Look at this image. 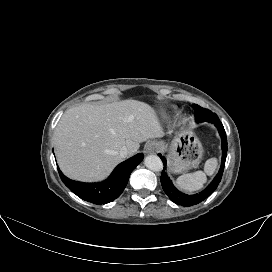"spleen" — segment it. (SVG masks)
Returning <instances> with one entry per match:
<instances>
[{"mask_svg":"<svg viewBox=\"0 0 272 272\" xmlns=\"http://www.w3.org/2000/svg\"><path fill=\"white\" fill-rule=\"evenodd\" d=\"M217 168V159L210 158L205 162L204 171L183 174L176 180V185L185 191H196L203 187L207 178L206 175L214 174Z\"/></svg>","mask_w":272,"mask_h":272,"instance_id":"1","label":"spleen"}]
</instances>
